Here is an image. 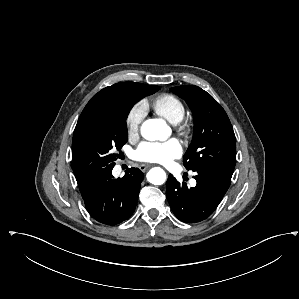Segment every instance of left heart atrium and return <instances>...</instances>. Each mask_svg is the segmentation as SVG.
<instances>
[{"label":"left heart atrium","mask_w":299,"mask_h":299,"mask_svg":"<svg viewBox=\"0 0 299 299\" xmlns=\"http://www.w3.org/2000/svg\"><path fill=\"white\" fill-rule=\"evenodd\" d=\"M181 155L182 147L174 139L165 142L144 141L133 152V158L138 161L165 165Z\"/></svg>","instance_id":"39dd6f15"}]
</instances>
